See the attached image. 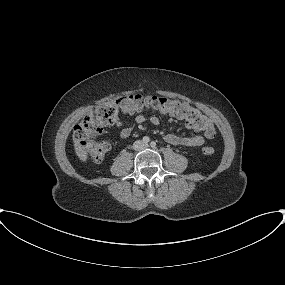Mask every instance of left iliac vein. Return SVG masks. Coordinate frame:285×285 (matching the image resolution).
Wrapping results in <instances>:
<instances>
[{"label":"left iliac vein","mask_w":285,"mask_h":285,"mask_svg":"<svg viewBox=\"0 0 285 285\" xmlns=\"http://www.w3.org/2000/svg\"><path fill=\"white\" fill-rule=\"evenodd\" d=\"M147 147H148V145H147V144H145V145H144V148H147Z\"/></svg>","instance_id":"obj_1"}]
</instances>
